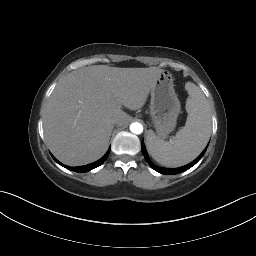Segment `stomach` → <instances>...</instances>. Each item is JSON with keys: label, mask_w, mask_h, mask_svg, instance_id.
<instances>
[{"label": "stomach", "mask_w": 256, "mask_h": 256, "mask_svg": "<svg viewBox=\"0 0 256 256\" xmlns=\"http://www.w3.org/2000/svg\"><path fill=\"white\" fill-rule=\"evenodd\" d=\"M173 81L172 75L163 71L151 90V120L156 133L162 138L174 130L181 110Z\"/></svg>", "instance_id": "1"}]
</instances>
